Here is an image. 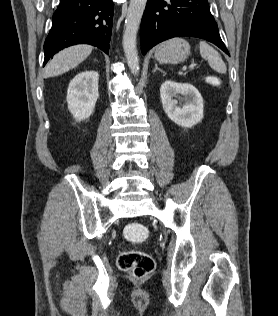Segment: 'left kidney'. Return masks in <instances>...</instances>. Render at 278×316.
<instances>
[{
  "instance_id": "5707ae66",
  "label": "left kidney",
  "mask_w": 278,
  "mask_h": 316,
  "mask_svg": "<svg viewBox=\"0 0 278 316\" xmlns=\"http://www.w3.org/2000/svg\"><path fill=\"white\" fill-rule=\"evenodd\" d=\"M181 95L183 107L173 99ZM162 106L168 117L177 125L190 128L203 119V98L191 84L165 81L160 88Z\"/></svg>"
}]
</instances>
